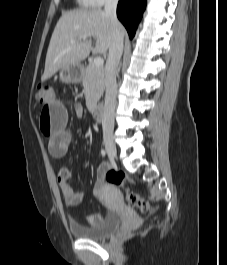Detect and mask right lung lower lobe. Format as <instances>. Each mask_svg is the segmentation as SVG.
Returning a JSON list of instances; mask_svg holds the SVG:
<instances>
[{
  "label": "right lung lower lobe",
  "instance_id": "1",
  "mask_svg": "<svg viewBox=\"0 0 227 265\" xmlns=\"http://www.w3.org/2000/svg\"><path fill=\"white\" fill-rule=\"evenodd\" d=\"M146 7V0H119L117 16L123 23L130 38H133Z\"/></svg>",
  "mask_w": 227,
  "mask_h": 265
}]
</instances>
